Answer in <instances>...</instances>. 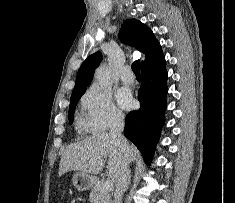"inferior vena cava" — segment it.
<instances>
[{"mask_svg":"<svg viewBox=\"0 0 235 203\" xmlns=\"http://www.w3.org/2000/svg\"><path fill=\"white\" fill-rule=\"evenodd\" d=\"M123 128H124V116L121 114H116L113 118L109 134L119 142L123 152L125 153V160L122 164L119 178L115 183L113 203H121L123 194L127 187V182L129 177V169H128L130 163L129 146L127 140L122 135Z\"/></svg>","mask_w":235,"mask_h":203,"instance_id":"1","label":"inferior vena cava"}]
</instances>
